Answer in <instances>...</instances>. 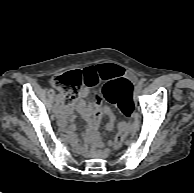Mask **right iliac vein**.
<instances>
[{"mask_svg": "<svg viewBox=\"0 0 194 193\" xmlns=\"http://www.w3.org/2000/svg\"><path fill=\"white\" fill-rule=\"evenodd\" d=\"M58 100L59 101H62L63 100L62 94H59L58 95ZM56 115H57V117H61L59 113H57Z\"/></svg>", "mask_w": 194, "mask_h": 193, "instance_id": "obj_1", "label": "right iliac vein"}]
</instances>
